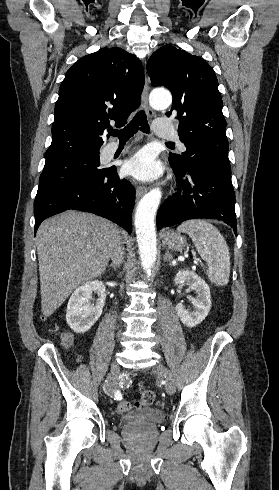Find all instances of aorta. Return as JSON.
<instances>
[{"label": "aorta", "instance_id": "obj_1", "mask_svg": "<svg viewBox=\"0 0 279 490\" xmlns=\"http://www.w3.org/2000/svg\"><path fill=\"white\" fill-rule=\"evenodd\" d=\"M172 103L171 94L165 90L153 91L150 104L158 110L166 109ZM162 197L161 190L154 188L140 200L135 213V230L139 255L144 269L150 273L156 261L157 240L155 230V215Z\"/></svg>", "mask_w": 279, "mask_h": 490}]
</instances>
